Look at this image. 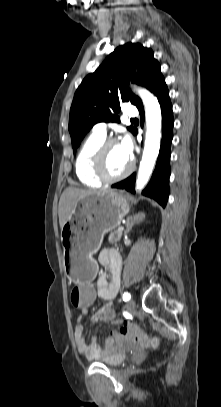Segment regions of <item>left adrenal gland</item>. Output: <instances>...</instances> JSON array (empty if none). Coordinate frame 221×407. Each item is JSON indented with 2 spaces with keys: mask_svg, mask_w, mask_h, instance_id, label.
Returning <instances> with one entry per match:
<instances>
[{
  "mask_svg": "<svg viewBox=\"0 0 221 407\" xmlns=\"http://www.w3.org/2000/svg\"><path fill=\"white\" fill-rule=\"evenodd\" d=\"M144 218H145V214H144V213H138V214H135V215H133V216H129V217L127 218V221H126V231H125V234H128V233L130 232V230L132 229V227H133L135 224L141 222Z\"/></svg>",
  "mask_w": 221,
  "mask_h": 407,
  "instance_id": "a2214340",
  "label": "left adrenal gland"
}]
</instances>
